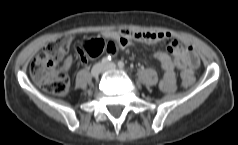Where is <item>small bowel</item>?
<instances>
[{"instance_id": "obj_1", "label": "small bowel", "mask_w": 238, "mask_h": 145, "mask_svg": "<svg viewBox=\"0 0 238 145\" xmlns=\"http://www.w3.org/2000/svg\"><path fill=\"white\" fill-rule=\"evenodd\" d=\"M104 36L115 40L121 49L129 47L136 41L144 43H154L158 41L168 42V50L173 54V57L165 51L153 53V57L159 61L164 70V75L159 84L161 91L170 93L175 90L176 70L181 71L183 80L185 76L188 75L192 78L193 82V71L199 63L195 50L189 42H181L171 32H140L120 29L117 31H108L104 33ZM71 64L72 58L68 57L63 64V69H69Z\"/></svg>"}]
</instances>
